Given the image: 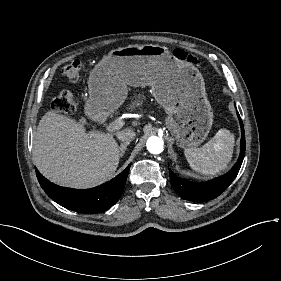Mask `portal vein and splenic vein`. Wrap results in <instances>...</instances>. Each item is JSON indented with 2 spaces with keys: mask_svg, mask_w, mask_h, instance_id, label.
<instances>
[{
  "mask_svg": "<svg viewBox=\"0 0 281 281\" xmlns=\"http://www.w3.org/2000/svg\"><path fill=\"white\" fill-rule=\"evenodd\" d=\"M127 126V121L126 120H122V119H118L115 120L113 123L108 124L105 126V133L106 134H113L114 131H120L121 127H126Z\"/></svg>",
  "mask_w": 281,
  "mask_h": 281,
  "instance_id": "portal-vein-and-splenic-vein-1",
  "label": "portal vein and splenic vein"
}]
</instances>
